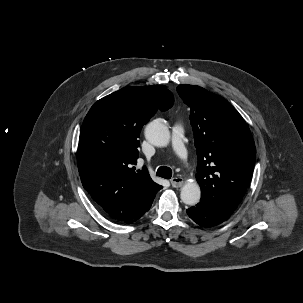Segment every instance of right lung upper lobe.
I'll return each mask as SVG.
<instances>
[{
	"label": "right lung upper lobe",
	"instance_id": "1",
	"mask_svg": "<svg viewBox=\"0 0 303 303\" xmlns=\"http://www.w3.org/2000/svg\"><path fill=\"white\" fill-rule=\"evenodd\" d=\"M173 105L163 85L128 87L98 100L86 115L77 163L84 189L116 221L138 214L162 186L135 171L142 126Z\"/></svg>",
	"mask_w": 303,
	"mask_h": 303
}]
</instances>
